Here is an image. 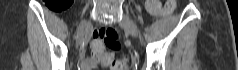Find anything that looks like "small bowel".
Segmentation results:
<instances>
[{
  "label": "small bowel",
  "mask_w": 238,
  "mask_h": 70,
  "mask_svg": "<svg viewBox=\"0 0 238 70\" xmlns=\"http://www.w3.org/2000/svg\"><path fill=\"white\" fill-rule=\"evenodd\" d=\"M93 39L88 42V46L92 49V56L90 58L83 59L80 64L81 70H93L97 69L99 62L104 64L103 58L96 53L93 48ZM107 57H111L107 54Z\"/></svg>",
  "instance_id": "c3829d8e"
}]
</instances>
